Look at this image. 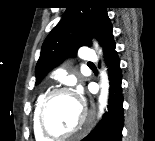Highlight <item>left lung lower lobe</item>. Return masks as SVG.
<instances>
[{
  "label": "left lung lower lobe",
  "instance_id": "left-lung-lower-lobe-1",
  "mask_svg": "<svg viewBox=\"0 0 155 141\" xmlns=\"http://www.w3.org/2000/svg\"><path fill=\"white\" fill-rule=\"evenodd\" d=\"M115 41L111 35L104 45V57L110 80L109 105L98 126L82 141H121L124 122L122 73Z\"/></svg>",
  "mask_w": 155,
  "mask_h": 141
}]
</instances>
